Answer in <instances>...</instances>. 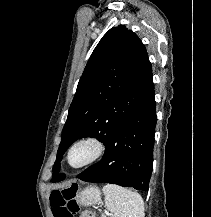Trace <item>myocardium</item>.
<instances>
[{"label":"myocardium","mask_w":211,"mask_h":217,"mask_svg":"<svg viewBox=\"0 0 211 217\" xmlns=\"http://www.w3.org/2000/svg\"><path fill=\"white\" fill-rule=\"evenodd\" d=\"M80 145H90L93 149L91 156L79 165H73L70 161L72 151ZM105 142L96 135H85L76 139L68 148L66 160L68 165L73 169H82L88 167L100 160L106 152Z\"/></svg>","instance_id":"myocardium-1"}]
</instances>
